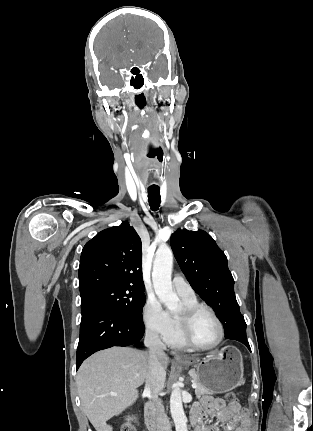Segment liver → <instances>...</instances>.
<instances>
[{
    "mask_svg": "<svg viewBox=\"0 0 313 431\" xmlns=\"http://www.w3.org/2000/svg\"><path fill=\"white\" fill-rule=\"evenodd\" d=\"M149 361L147 352L113 347L95 353L80 366L76 383L81 406L96 431H112L106 422L137 400ZM161 363L167 368V355Z\"/></svg>",
    "mask_w": 313,
    "mask_h": 431,
    "instance_id": "obj_1",
    "label": "liver"
}]
</instances>
